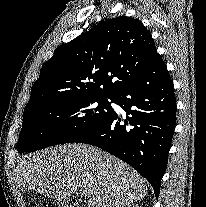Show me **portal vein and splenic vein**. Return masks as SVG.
I'll list each match as a JSON object with an SVG mask.
<instances>
[{"label": "portal vein and splenic vein", "mask_w": 206, "mask_h": 207, "mask_svg": "<svg viewBox=\"0 0 206 207\" xmlns=\"http://www.w3.org/2000/svg\"><path fill=\"white\" fill-rule=\"evenodd\" d=\"M85 192L84 191H79L78 193H77V195L78 196H80V197H83V196H85Z\"/></svg>", "instance_id": "18ae733b"}]
</instances>
